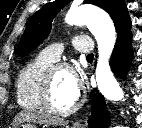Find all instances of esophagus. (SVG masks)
I'll use <instances>...</instances> for the list:
<instances>
[{
	"mask_svg": "<svg viewBox=\"0 0 142 128\" xmlns=\"http://www.w3.org/2000/svg\"><path fill=\"white\" fill-rule=\"evenodd\" d=\"M74 128H85L83 123H77Z\"/></svg>",
	"mask_w": 142,
	"mask_h": 128,
	"instance_id": "esophagus-1",
	"label": "esophagus"
}]
</instances>
